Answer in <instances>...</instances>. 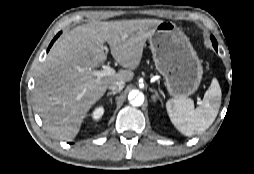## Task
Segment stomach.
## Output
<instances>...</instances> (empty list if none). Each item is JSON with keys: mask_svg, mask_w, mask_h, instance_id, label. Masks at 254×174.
Here are the masks:
<instances>
[{"mask_svg": "<svg viewBox=\"0 0 254 174\" xmlns=\"http://www.w3.org/2000/svg\"><path fill=\"white\" fill-rule=\"evenodd\" d=\"M156 69L175 98L194 94L201 82V62L184 32L171 21L157 25L149 37Z\"/></svg>", "mask_w": 254, "mask_h": 174, "instance_id": "0dacf381", "label": "stomach"}]
</instances>
